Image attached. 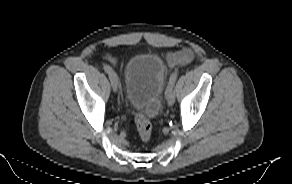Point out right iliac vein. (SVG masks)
<instances>
[{"label":"right iliac vein","mask_w":292,"mask_h":184,"mask_svg":"<svg viewBox=\"0 0 292 184\" xmlns=\"http://www.w3.org/2000/svg\"><path fill=\"white\" fill-rule=\"evenodd\" d=\"M109 79L111 81V86H112L113 91L116 92L118 89V77H117L116 73L112 71L109 74Z\"/></svg>","instance_id":"1"}]
</instances>
